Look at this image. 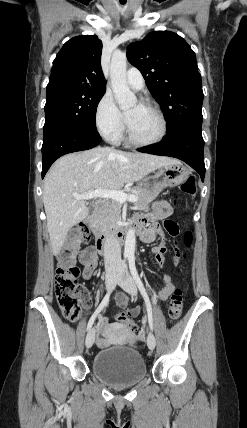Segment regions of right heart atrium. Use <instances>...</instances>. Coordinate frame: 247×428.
Returning <instances> with one entry per match:
<instances>
[{"label":"right heart atrium","mask_w":247,"mask_h":428,"mask_svg":"<svg viewBox=\"0 0 247 428\" xmlns=\"http://www.w3.org/2000/svg\"><path fill=\"white\" fill-rule=\"evenodd\" d=\"M95 124L98 132L109 141L116 142L123 135V115L109 92L103 94L96 106Z\"/></svg>","instance_id":"d8ad5b80"}]
</instances>
